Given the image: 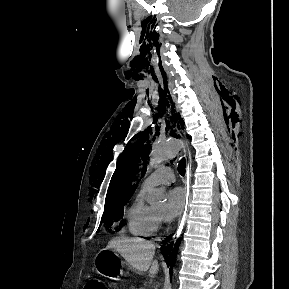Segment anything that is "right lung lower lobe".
I'll return each mask as SVG.
<instances>
[{
  "label": "right lung lower lobe",
  "instance_id": "1",
  "mask_svg": "<svg viewBox=\"0 0 289 289\" xmlns=\"http://www.w3.org/2000/svg\"><path fill=\"white\" fill-rule=\"evenodd\" d=\"M171 237L172 236H170V238ZM167 241H169V239ZM177 245H178V241L177 243H175V245H173V242H171V243L165 244V246L162 248L163 251L165 252L166 258L168 259L167 264L171 266L170 272L175 262L176 251L178 250Z\"/></svg>",
  "mask_w": 289,
  "mask_h": 289
}]
</instances>
